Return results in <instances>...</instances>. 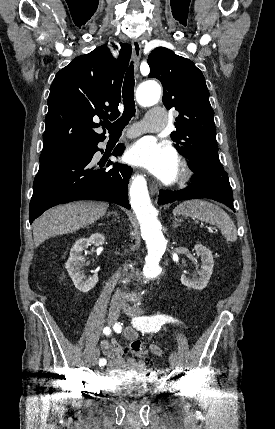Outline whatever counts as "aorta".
<instances>
[{
  "label": "aorta",
  "instance_id": "obj_1",
  "mask_svg": "<svg viewBox=\"0 0 275 429\" xmlns=\"http://www.w3.org/2000/svg\"><path fill=\"white\" fill-rule=\"evenodd\" d=\"M160 94L161 88L157 83L145 82L137 90V101L142 106H152L159 101ZM129 194L131 207L140 224L141 236L148 249L143 277L152 279L161 273L159 263L165 253L167 241L157 219L156 209L151 203L147 182L142 176L133 177Z\"/></svg>",
  "mask_w": 275,
  "mask_h": 429
}]
</instances>
